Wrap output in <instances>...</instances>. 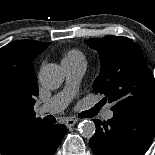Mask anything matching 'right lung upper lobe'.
I'll return each mask as SVG.
<instances>
[{
  "instance_id": "cb5924a9",
  "label": "right lung upper lobe",
  "mask_w": 155,
  "mask_h": 155,
  "mask_svg": "<svg viewBox=\"0 0 155 155\" xmlns=\"http://www.w3.org/2000/svg\"><path fill=\"white\" fill-rule=\"evenodd\" d=\"M50 43L18 40L0 48V89L12 94L17 126L11 133L0 132V154L19 155L25 151L24 142L45 122L35 118V96L38 94L33 60Z\"/></svg>"
}]
</instances>
